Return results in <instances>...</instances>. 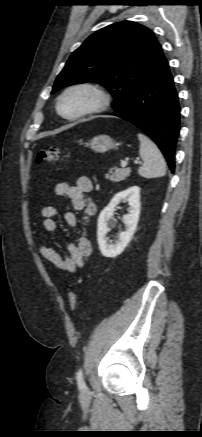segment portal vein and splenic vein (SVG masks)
<instances>
[{
    "label": "portal vein and splenic vein",
    "mask_w": 202,
    "mask_h": 437,
    "mask_svg": "<svg viewBox=\"0 0 202 437\" xmlns=\"http://www.w3.org/2000/svg\"><path fill=\"white\" fill-rule=\"evenodd\" d=\"M134 163L135 164H139L140 163V161H134ZM127 165H128V162L127 161H123V162H121V167H123V168H125V167H127Z\"/></svg>",
    "instance_id": "portal-vein-and-splenic-vein-1"
}]
</instances>
